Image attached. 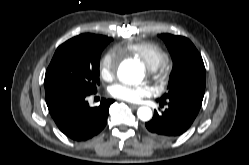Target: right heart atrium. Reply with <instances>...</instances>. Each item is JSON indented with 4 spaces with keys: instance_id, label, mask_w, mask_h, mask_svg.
<instances>
[{
    "instance_id": "1",
    "label": "right heart atrium",
    "mask_w": 249,
    "mask_h": 165,
    "mask_svg": "<svg viewBox=\"0 0 249 165\" xmlns=\"http://www.w3.org/2000/svg\"><path fill=\"white\" fill-rule=\"evenodd\" d=\"M119 60V52L116 49L109 50L100 61V75L108 79L115 73Z\"/></svg>"
}]
</instances>
